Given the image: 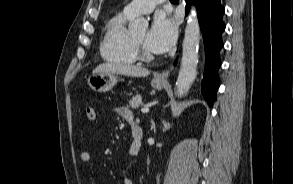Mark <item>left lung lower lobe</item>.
<instances>
[{
  "label": "left lung lower lobe",
  "mask_w": 293,
  "mask_h": 184,
  "mask_svg": "<svg viewBox=\"0 0 293 184\" xmlns=\"http://www.w3.org/2000/svg\"><path fill=\"white\" fill-rule=\"evenodd\" d=\"M186 14L193 3L198 12V19L205 44L206 64L201 85V93L212 106L219 87L218 69L221 65L219 51L223 46L221 34L225 30L222 20L224 7L220 0H185Z\"/></svg>",
  "instance_id": "1"
}]
</instances>
